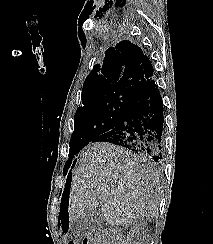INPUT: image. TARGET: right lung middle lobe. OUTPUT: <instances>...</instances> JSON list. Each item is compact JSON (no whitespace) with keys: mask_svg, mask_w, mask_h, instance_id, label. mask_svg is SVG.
Returning <instances> with one entry per match:
<instances>
[{"mask_svg":"<svg viewBox=\"0 0 213 244\" xmlns=\"http://www.w3.org/2000/svg\"><path fill=\"white\" fill-rule=\"evenodd\" d=\"M133 97L128 94L108 95L78 108L70 140V159L64 166V174L70 168L72 159L84 146L117 125Z\"/></svg>","mask_w":213,"mask_h":244,"instance_id":"dd1d6c3e","label":"right lung middle lobe"}]
</instances>
